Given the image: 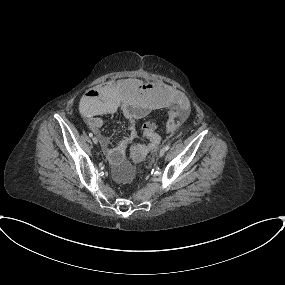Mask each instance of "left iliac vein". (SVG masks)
<instances>
[{
	"mask_svg": "<svg viewBox=\"0 0 285 285\" xmlns=\"http://www.w3.org/2000/svg\"><path fill=\"white\" fill-rule=\"evenodd\" d=\"M165 152H166L165 148H162V149L160 150L158 156H159V157H163L164 154H165Z\"/></svg>",
	"mask_w": 285,
	"mask_h": 285,
	"instance_id": "1",
	"label": "left iliac vein"
}]
</instances>
